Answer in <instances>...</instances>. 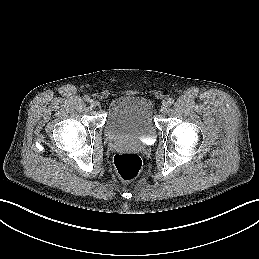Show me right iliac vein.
<instances>
[{
  "mask_svg": "<svg viewBox=\"0 0 259 259\" xmlns=\"http://www.w3.org/2000/svg\"><path fill=\"white\" fill-rule=\"evenodd\" d=\"M89 104H90V107H91V108H96V106H97V102H96L94 99H91V100L89 101Z\"/></svg>",
  "mask_w": 259,
  "mask_h": 259,
  "instance_id": "63e3f726",
  "label": "right iliac vein"
}]
</instances>
